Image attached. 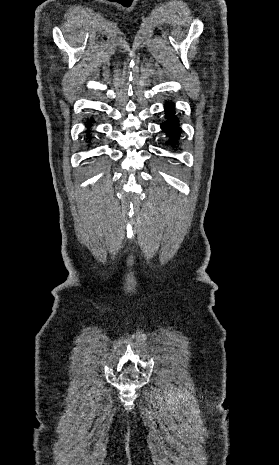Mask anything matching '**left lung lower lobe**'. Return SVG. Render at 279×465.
Returning a JSON list of instances; mask_svg holds the SVG:
<instances>
[{"instance_id": "left-lung-lower-lobe-1", "label": "left lung lower lobe", "mask_w": 279, "mask_h": 465, "mask_svg": "<svg viewBox=\"0 0 279 465\" xmlns=\"http://www.w3.org/2000/svg\"><path fill=\"white\" fill-rule=\"evenodd\" d=\"M174 104L172 103H167L165 105V111H166V119L167 121L161 124L162 130L169 136V142L168 143H173L176 144L177 140L179 139V135L181 133V128L178 125V118L175 116L174 113Z\"/></svg>"}]
</instances>
